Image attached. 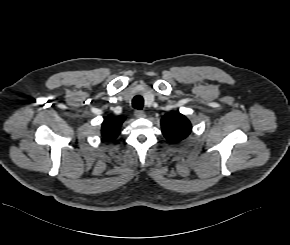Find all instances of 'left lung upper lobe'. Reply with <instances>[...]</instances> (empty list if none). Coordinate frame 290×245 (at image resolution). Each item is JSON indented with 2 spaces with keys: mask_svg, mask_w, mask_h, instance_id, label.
<instances>
[{
  "mask_svg": "<svg viewBox=\"0 0 290 245\" xmlns=\"http://www.w3.org/2000/svg\"><path fill=\"white\" fill-rule=\"evenodd\" d=\"M162 133L168 141L175 143L186 138L191 132L190 121L182 114H166L161 120Z\"/></svg>",
  "mask_w": 290,
  "mask_h": 245,
  "instance_id": "5c2ea615",
  "label": "left lung upper lobe"
}]
</instances>
